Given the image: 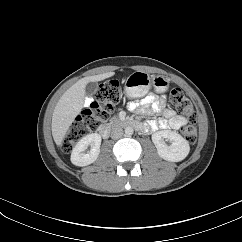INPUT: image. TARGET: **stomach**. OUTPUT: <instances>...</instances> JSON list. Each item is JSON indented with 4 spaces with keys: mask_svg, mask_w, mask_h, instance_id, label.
<instances>
[{
    "mask_svg": "<svg viewBox=\"0 0 242 242\" xmlns=\"http://www.w3.org/2000/svg\"><path fill=\"white\" fill-rule=\"evenodd\" d=\"M157 93H164L169 88V80L161 75H149L144 71H135L126 80L125 92L130 98L145 96L151 88Z\"/></svg>",
    "mask_w": 242,
    "mask_h": 242,
    "instance_id": "0dacf381",
    "label": "stomach"
}]
</instances>
